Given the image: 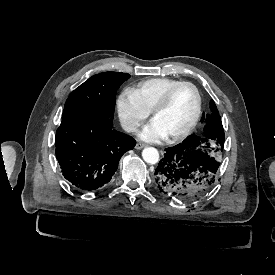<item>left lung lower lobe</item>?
Masks as SVG:
<instances>
[{"label": "left lung lower lobe", "mask_w": 275, "mask_h": 275, "mask_svg": "<svg viewBox=\"0 0 275 275\" xmlns=\"http://www.w3.org/2000/svg\"><path fill=\"white\" fill-rule=\"evenodd\" d=\"M174 147L166 148L154 172L156 187L169 198L192 199L206 193L216 181L217 171L205 167Z\"/></svg>", "instance_id": "obj_1"}]
</instances>
